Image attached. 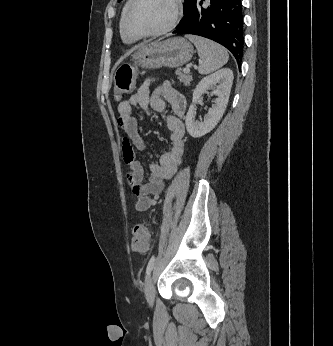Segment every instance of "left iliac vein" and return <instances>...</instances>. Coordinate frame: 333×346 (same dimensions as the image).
<instances>
[{"label":"left iliac vein","instance_id":"1","mask_svg":"<svg viewBox=\"0 0 333 346\" xmlns=\"http://www.w3.org/2000/svg\"><path fill=\"white\" fill-rule=\"evenodd\" d=\"M144 293H145V297H146L148 305L153 306L155 301V286H154L152 274L146 280Z\"/></svg>","mask_w":333,"mask_h":346}]
</instances>
